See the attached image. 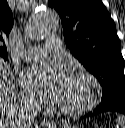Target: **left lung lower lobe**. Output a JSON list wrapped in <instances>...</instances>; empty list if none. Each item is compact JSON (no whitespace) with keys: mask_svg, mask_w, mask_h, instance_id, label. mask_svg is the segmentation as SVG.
Wrapping results in <instances>:
<instances>
[{"mask_svg":"<svg viewBox=\"0 0 125 128\" xmlns=\"http://www.w3.org/2000/svg\"><path fill=\"white\" fill-rule=\"evenodd\" d=\"M114 111L125 114V94L121 95L114 101L98 105L92 113L88 115H96L102 112Z\"/></svg>","mask_w":125,"mask_h":128,"instance_id":"1","label":"left lung lower lobe"}]
</instances>
